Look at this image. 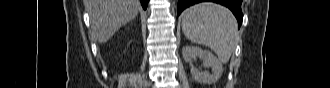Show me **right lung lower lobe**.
Listing matches in <instances>:
<instances>
[{
    "mask_svg": "<svg viewBox=\"0 0 330 88\" xmlns=\"http://www.w3.org/2000/svg\"><path fill=\"white\" fill-rule=\"evenodd\" d=\"M140 1H141V4H142L143 9H146L149 0H140Z\"/></svg>",
    "mask_w": 330,
    "mask_h": 88,
    "instance_id": "right-lung-lower-lobe-1",
    "label": "right lung lower lobe"
}]
</instances>
